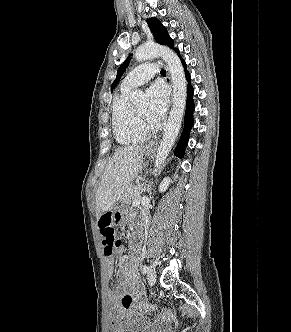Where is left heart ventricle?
<instances>
[{"mask_svg":"<svg viewBox=\"0 0 291 332\" xmlns=\"http://www.w3.org/2000/svg\"><path fill=\"white\" fill-rule=\"evenodd\" d=\"M136 109L145 119H147L148 104L146 102L137 105Z\"/></svg>","mask_w":291,"mask_h":332,"instance_id":"1","label":"left heart ventricle"}]
</instances>
